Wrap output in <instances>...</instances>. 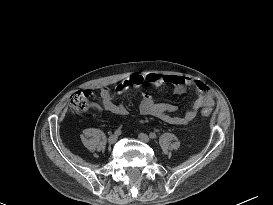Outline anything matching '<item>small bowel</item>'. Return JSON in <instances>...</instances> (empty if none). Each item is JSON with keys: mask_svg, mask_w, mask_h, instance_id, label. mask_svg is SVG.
<instances>
[{"mask_svg": "<svg viewBox=\"0 0 273 205\" xmlns=\"http://www.w3.org/2000/svg\"><path fill=\"white\" fill-rule=\"evenodd\" d=\"M145 83H149L155 87L161 85H170L174 89V93L182 95L189 88H194L197 93V99L189 105L183 115H174L177 106L172 103L156 102L154 98L146 93L141 92L140 112L143 115L157 117L167 123L174 125H184L193 121L196 112L200 108L212 107L214 105V96L210 88L200 81H193L189 78L176 75H158V74H132L114 88V93L104 88L100 91L101 104L95 105L94 108L99 111H106L116 115H127V108L115 101L114 95L124 93L129 87L140 89Z\"/></svg>", "mask_w": 273, "mask_h": 205, "instance_id": "obj_1", "label": "small bowel"}]
</instances>
